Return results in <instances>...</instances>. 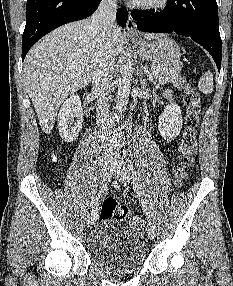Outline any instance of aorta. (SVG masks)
Here are the masks:
<instances>
[{"instance_id":"1","label":"aorta","mask_w":233,"mask_h":286,"mask_svg":"<svg viewBox=\"0 0 233 286\" xmlns=\"http://www.w3.org/2000/svg\"><path fill=\"white\" fill-rule=\"evenodd\" d=\"M132 64L131 60L127 59L126 62L122 65L120 70V77L118 79V93H117V109L123 111L126 109L129 94L130 86L132 81Z\"/></svg>"}]
</instances>
